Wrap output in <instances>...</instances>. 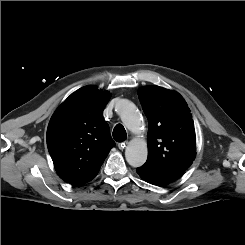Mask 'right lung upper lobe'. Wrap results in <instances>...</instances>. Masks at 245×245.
I'll list each match as a JSON object with an SVG mask.
<instances>
[{
    "instance_id": "right-lung-upper-lobe-1",
    "label": "right lung upper lobe",
    "mask_w": 245,
    "mask_h": 245,
    "mask_svg": "<svg viewBox=\"0 0 245 245\" xmlns=\"http://www.w3.org/2000/svg\"><path fill=\"white\" fill-rule=\"evenodd\" d=\"M108 91L86 86L56 110L47 129V147L59 177L72 185L91 181L115 146L102 111Z\"/></svg>"
}]
</instances>
